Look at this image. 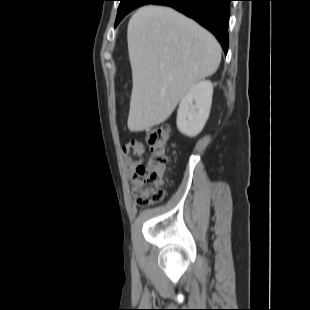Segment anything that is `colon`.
Returning a JSON list of instances; mask_svg holds the SVG:
<instances>
[{"label": "colon", "instance_id": "colon-1", "mask_svg": "<svg viewBox=\"0 0 310 310\" xmlns=\"http://www.w3.org/2000/svg\"><path fill=\"white\" fill-rule=\"evenodd\" d=\"M170 135L171 129L168 126H157L145 133L147 160L136 169L132 180V192L139 205H154L163 198Z\"/></svg>", "mask_w": 310, "mask_h": 310}]
</instances>
